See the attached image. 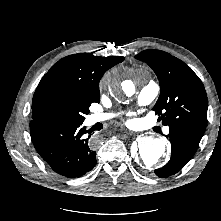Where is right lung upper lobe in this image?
<instances>
[{"label":"right lung upper lobe","mask_w":221,"mask_h":221,"mask_svg":"<svg viewBox=\"0 0 221 221\" xmlns=\"http://www.w3.org/2000/svg\"><path fill=\"white\" fill-rule=\"evenodd\" d=\"M123 60L124 57H100L91 53L64 57L54 64L41 79L34 93L33 102L38 93L51 83L64 84L91 94L100 93L98 85L103 74ZM32 118L37 120L33 116Z\"/></svg>","instance_id":"cb5924a9"}]
</instances>
